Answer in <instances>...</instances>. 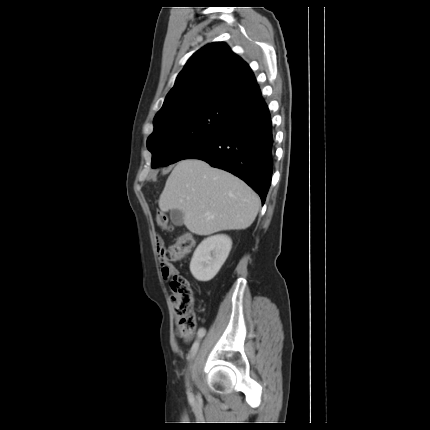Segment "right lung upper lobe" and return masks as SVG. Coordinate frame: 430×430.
Segmentation results:
<instances>
[{"label":"right lung upper lobe","instance_id":"cb5924a9","mask_svg":"<svg viewBox=\"0 0 430 430\" xmlns=\"http://www.w3.org/2000/svg\"><path fill=\"white\" fill-rule=\"evenodd\" d=\"M257 86L248 64L224 42L208 44L188 60L154 122L209 100H223L233 112L243 110L261 96Z\"/></svg>","mask_w":430,"mask_h":430}]
</instances>
